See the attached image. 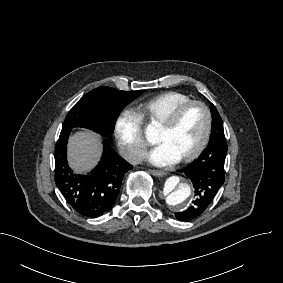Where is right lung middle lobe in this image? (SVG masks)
Returning <instances> with one entry per match:
<instances>
[{"mask_svg": "<svg viewBox=\"0 0 283 283\" xmlns=\"http://www.w3.org/2000/svg\"><path fill=\"white\" fill-rule=\"evenodd\" d=\"M142 93L143 91H120L107 86L96 88L72 107L62 129L84 127L109 137L121 110Z\"/></svg>", "mask_w": 283, "mask_h": 283, "instance_id": "1", "label": "right lung middle lobe"}]
</instances>
